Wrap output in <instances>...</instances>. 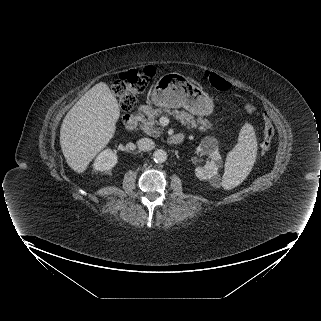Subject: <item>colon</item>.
Segmentation results:
<instances>
[{
  "label": "colon",
  "instance_id": "colon-1",
  "mask_svg": "<svg viewBox=\"0 0 321 321\" xmlns=\"http://www.w3.org/2000/svg\"><path fill=\"white\" fill-rule=\"evenodd\" d=\"M156 74V68L153 65H147L142 69H129L123 72L119 79L114 83L112 90L118 97L120 106L124 111H130L138 95L142 94L150 81ZM205 77L208 83L218 91L228 92L231 89L230 83L214 72H206ZM263 139L261 142V153L266 155L270 150L274 127L267 116L263 117Z\"/></svg>",
  "mask_w": 321,
  "mask_h": 321
}]
</instances>
